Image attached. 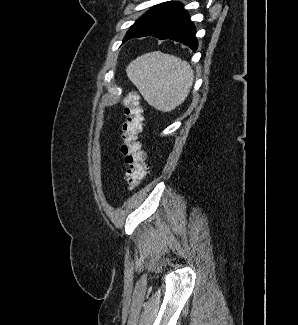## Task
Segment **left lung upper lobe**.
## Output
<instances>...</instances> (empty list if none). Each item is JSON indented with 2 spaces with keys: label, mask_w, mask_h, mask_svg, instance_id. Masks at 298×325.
Segmentation results:
<instances>
[{
  "label": "left lung upper lobe",
  "mask_w": 298,
  "mask_h": 325,
  "mask_svg": "<svg viewBox=\"0 0 298 325\" xmlns=\"http://www.w3.org/2000/svg\"><path fill=\"white\" fill-rule=\"evenodd\" d=\"M151 9H152V8H151ZM151 9H150V10H151ZM150 10H149V11H150ZM149 11H148V12H149ZM148 12H147V13H148ZM143 16H144V15H143ZM143 16H142V17H143ZM142 17H141V18H142ZM141 18H140V19H141ZM140 19H138V20H137V21H136V22L131 26L130 30H131V29L136 25V23H137ZM130 30L128 31V33L130 32ZM128 33L126 34V36L128 35Z\"/></svg>",
  "instance_id": "left-lung-upper-lobe-1"
}]
</instances>
